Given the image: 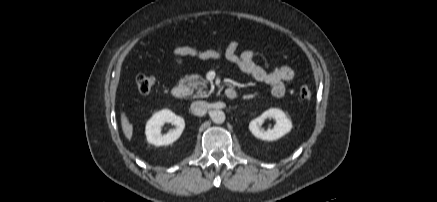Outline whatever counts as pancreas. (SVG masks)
Returning a JSON list of instances; mask_svg holds the SVG:
<instances>
[{
  "mask_svg": "<svg viewBox=\"0 0 437 202\" xmlns=\"http://www.w3.org/2000/svg\"><path fill=\"white\" fill-rule=\"evenodd\" d=\"M180 82L185 84V86L188 88V94L192 97H205L207 95L206 81L200 75H186L180 80Z\"/></svg>",
  "mask_w": 437,
  "mask_h": 202,
  "instance_id": "pancreas-1",
  "label": "pancreas"
}]
</instances>
